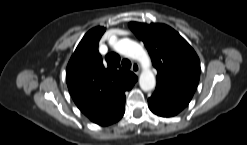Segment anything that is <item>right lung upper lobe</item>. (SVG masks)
<instances>
[{
	"label": "right lung upper lobe",
	"mask_w": 247,
	"mask_h": 145,
	"mask_svg": "<svg viewBox=\"0 0 247 145\" xmlns=\"http://www.w3.org/2000/svg\"><path fill=\"white\" fill-rule=\"evenodd\" d=\"M104 27H95L82 38L66 70L69 92L77 107L94 123L106 126L118 121L125 112V91L137 76L120 67L116 53L102 60L98 42Z\"/></svg>",
	"instance_id": "right-lung-upper-lobe-1"
}]
</instances>
